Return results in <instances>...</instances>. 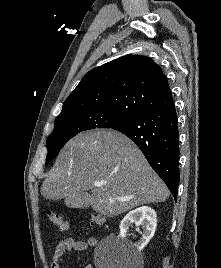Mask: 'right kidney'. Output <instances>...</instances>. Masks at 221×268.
I'll list each match as a JSON object with an SVG mask.
<instances>
[{
  "instance_id": "obj_1",
  "label": "right kidney",
  "mask_w": 221,
  "mask_h": 268,
  "mask_svg": "<svg viewBox=\"0 0 221 268\" xmlns=\"http://www.w3.org/2000/svg\"><path fill=\"white\" fill-rule=\"evenodd\" d=\"M133 223L137 226V231H139V226L143 229L141 239L133 245L135 251L140 252L148 244L155 233L157 226L156 212L147 206L130 211L120 223L119 238L122 241H127V232Z\"/></svg>"
}]
</instances>
